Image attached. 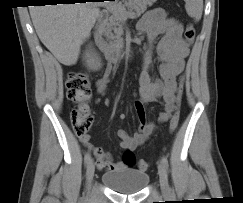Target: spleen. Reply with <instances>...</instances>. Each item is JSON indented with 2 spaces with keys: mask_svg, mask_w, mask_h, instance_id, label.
<instances>
[{
  "mask_svg": "<svg viewBox=\"0 0 243 203\" xmlns=\"http://www.w3.org/2000/svg\"><path fill=\"white\" fill-rule=\"evenodd\" d=\"M186 2L185 9L187 14L199 21L203 12V0H184Z\"/></svg>",
  "mask_w": 243,
  "mask_h": 203,
  "instance_id": "obj_1",
  "label": "spleen"
}]
</instances>
